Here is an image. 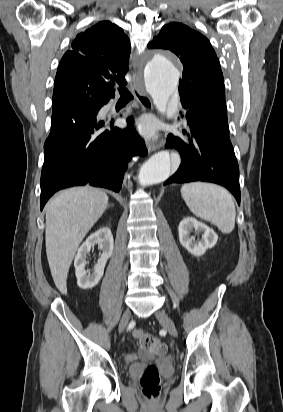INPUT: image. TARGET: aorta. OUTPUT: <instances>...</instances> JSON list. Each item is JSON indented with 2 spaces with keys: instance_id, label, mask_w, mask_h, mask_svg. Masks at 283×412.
Segmentation results:
<instances>
[{
  "instance_id": "762f6f07",
  "label": "aorta",
  "mask_w": 283,
  "mask_h": 412,
  "mask_svg": "<svg viewBox=\"0 0 283 412\" xmlns=\"http://www.w3.org/2000/svg\"><path fill=\"white\" fill-rule=\"evenodd\" d=\"M179 71L164 52H156L144 70L145 86L157 110L167 114L172 97L177 92ZM171 174V158L167 151L154 154L141 168L143 186L165 181Z\"/></svg>"
}]
</instances>
